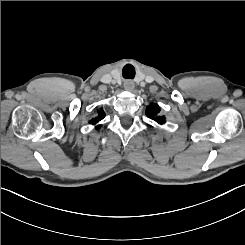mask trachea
Returning <instances> with one entry per match:
<instances>
[{"label": "trachea", "mask_w": 245, "mask_h": 245, "mask_svg": "<svg viewBox=\"0 0 245 245\" xmlns=\"http://www.w3.org/2000/svg\"><path fill=\"white\" fill-rule=\"evenodd\" d=\"M123 77L125 79H134L135 77V71L134 68L131 65H126L123 69Z\"/></svg>", "instance_id": "trachea-1"}]
</instances>
